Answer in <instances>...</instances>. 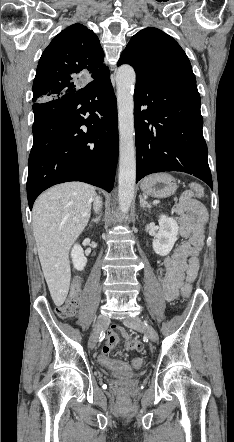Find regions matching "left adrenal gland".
I'll use <instances>...</instances> for the list:
<instances>
[{
  "label": "left adrenal gland",
  "mask_w": 234,
  "mask_h": 442,
  "mask_svg": "<svg viewBox=\"0 0 234 442\" xmlns=\"http://www.w3.org/2000/svg\"><path fill=\"white\" fill-rule=\"evenodd\" d=\"M140 198V207L141 208H148L151 209L152 205L149 204L141 195L139 196Z\"/></svg>",
  "instance_id": "left-adrenal-gland-1"
}]
</instances>
